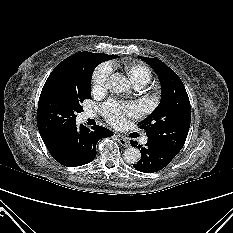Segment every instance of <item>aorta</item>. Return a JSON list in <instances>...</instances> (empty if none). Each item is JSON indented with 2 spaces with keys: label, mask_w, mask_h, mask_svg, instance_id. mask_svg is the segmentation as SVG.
Listing matches in <instances>:
<instances>
[{
  "label": "aorta",
  "mask_w": 233,
  "mask_h": 233,
  "mask_svg": "<svg viewBox=\"0 0 233 233\" xmlns=\"http://www.w3.org/2000/svg\"><path fill=\"white\" fill-rule=\"evenodd\" d=\"M107 88L114 93H124L130 89L129 80L120 73L110 76ZM140 151L135 147H129L124 151L123 158L128 164H136L140 160Z\"/></svg>",
  "instance_id": "1"
}]
</instances>
